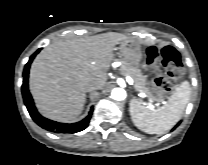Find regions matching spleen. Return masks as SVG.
Segmentation results:
<instances>
[{"instance_id": "1", "label": "spleen", "mask_w": 208, "mask_h": 165, "mask_svg": "<svg viewBox=\"0 0 208 165\" xmlns=\"http://www.w3.org/2000/svg\"><path fill=\"white\" fill-rule=\"evenodd\" d=\"M190 94V84L184 81L162 107L152 109L133 98L129 104L131 119L138 129L148 134H163L180 120L189 102Z\"/></svg>"}]
</instances>
